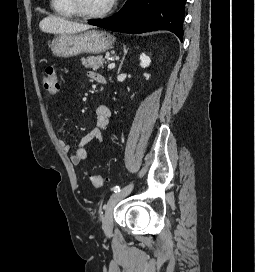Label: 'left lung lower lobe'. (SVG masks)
I'll return each mask as SVG.
<instances>
[{"mask_svg":"<svg viewBox=\"0 0 255 272\" xmlns=\"http://www.w3.org/2000/svg\"><path fill=\"white\" fill-rule=\"evenodd\" d=\"M185 2L186 0H127L123 8L112 17L88 23L130 34L168 30L182 41Z\"/></svg>","mask_w":255,"mask_h":272,"instance_id":"1","label":"left lung lower lobe"}]
</instances>
